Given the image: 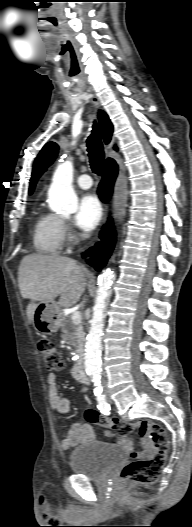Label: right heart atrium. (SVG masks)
I'll return each mask as SVG.
<instances>
[{
    "instance_id": "right-heart-atrium-1",
    "label": "right heart atrium",
    "mask_w": 192,
    "mask_h": 527,
    "mask_svg": "<svg viewBox=\"0 0 192 527\" xmlns=\"http://www.w3.org/2000/svg\"><path fill=\"white\" fill-rule=\"evenodd\" d=\"M62 226H63V229L64 231L67 229V226H66V223L62 220Z\"/></svg>"
}]
</instances>
